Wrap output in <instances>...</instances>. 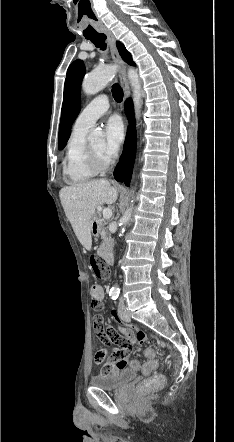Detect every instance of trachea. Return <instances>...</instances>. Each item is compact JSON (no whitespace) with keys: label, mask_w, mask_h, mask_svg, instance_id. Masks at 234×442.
<instances>
[{"label":"trachea","mask_w":234,"mask_h":442,"mask_svg":"<svg viewBox=\"0 0 234 442\" xmlns=\"http://www.w3.org/2000/svg\"><path fill=\"white\" fill-rule=\"evenodd\" d=\"M88 40H90L96 47L100 48L101 50H105L106 49V35L101 33L97 36L94 37H89L87 38ZM112 93H113V97L115 99V101L117 102H121L123 99V90L121 88V86L118 83L113 84L112 86Z\"/></svg>","instance_id":"1"}]
</instances>
